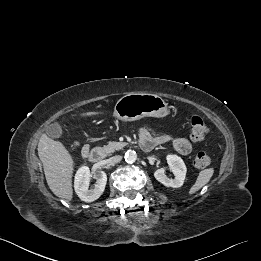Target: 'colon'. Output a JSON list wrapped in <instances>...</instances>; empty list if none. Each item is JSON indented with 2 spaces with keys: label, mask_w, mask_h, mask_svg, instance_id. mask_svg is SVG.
<instances>
[{
  "label": "colon",
  "mask_w": 261,
  "mask_h": 261,
  "mask_svg": "<svg viewBox=\"0 0 261 261\" xmlns=\"http://www.w3.org/2000/svg\"><path fill=\"white\" fill-rule=\"evenodd\" d=\"M191 137L194 141L201 142L207 134V126L199 116H193L190 123ZM211 163V157L206 152L200 151L195 156V164L198 167H206Z\"/></svg>",
  "instance_id": "1"
}]
</instances>
